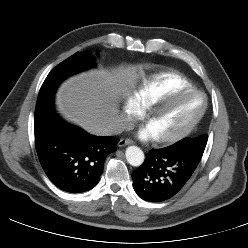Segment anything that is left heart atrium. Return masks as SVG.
I'll return each mask as SVG.
<instances>
[{"mask_svg":"<svg viewBox=\"0 0 248 248\" xmlns=\"http://www.w3.org/2000/svg\"><path fill=\"white\" fill-rule=\"evenodd\" d=\"M139 136L142 139H155L157 138V136L152 132V130L146 126L144 127L140 132H139Z\"/></svg>","mask_w":248,"mask_h":248,"instance_id":"1","label":"left heart atrium"}]
</instances>
